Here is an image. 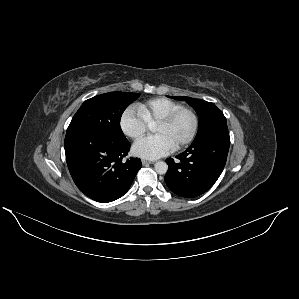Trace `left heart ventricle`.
I'll return each mask as SVG.
<instances>
[{"label":"left heart ventricle","mask_w":299,"mask_h":299,"mask_svg":"<svg viewBox=\"0 0 299 299\" xmlns=\"http://www.w3.org/2000/svg\"><path fill=\"white\" fill-rule=\"evenodd\" d=\"M192 128L193 117L190 113L183 112L169 125H156L155 132L167 136L177 146L190 135Z\"/></svg>","instance_id":"obj_1"}]
</instances>
